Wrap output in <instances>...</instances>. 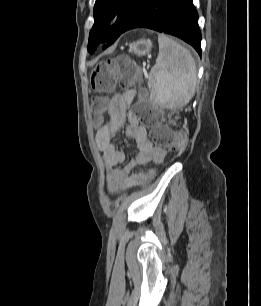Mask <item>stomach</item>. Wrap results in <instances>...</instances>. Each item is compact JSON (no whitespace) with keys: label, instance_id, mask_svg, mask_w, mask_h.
<instances>
[{"label":"stomach","instance_id":"obj_1","mask_svg":"<svg viewBox=\"0 0 261 306\" xmlns=\"http://www.w3.org/2000/svg\"><path fill=\"white\" fill-rule=\"evenodd\" d=\"M152 48V43L149 40L141 39L130 45V52L136 54L137 56H144L150 53Z\"/></svg>","mask_w":261,"mask_h":306}]
</instances>
